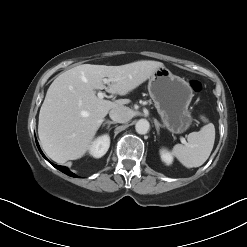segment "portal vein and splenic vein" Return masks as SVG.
<instances>
[{"instance_id": "obj_1", "label": "portal vein and splenic vein", "mask_w": 247, "mask_h": 247, "mask_svg": "<svg viewBox=\"0 0 247 247\" xmlns=\"http://www.w3.org/2000/svg\"><path fill=\"white\" fill-rule=\"evenodd\" d=\"M103 81H104V83H110L111 81H113V79H103ZM105 97V94L104 93H102V92H99L98 93V98H100V99H103ZM181 142L183 143V144H186V140L184 139V138H181Z\"/></svg>"}]
</instances>
